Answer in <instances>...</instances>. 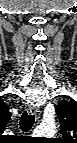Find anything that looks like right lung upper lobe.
<instances>
[{"instance_id": "1", "label": "right lung upper lobe", "mask_w": 77, "mask_h": 143, "mask_svg": "<svg viewBox=\"0 0 77 143\" xmlns=\"http://www.w3.org/2000/svg\"><path fill=\"white\" fill-rule=\"evenodd\" d=\"M11 117L9 106L0 100V127L4 129Z\"/></svg>"}]
</instances>
